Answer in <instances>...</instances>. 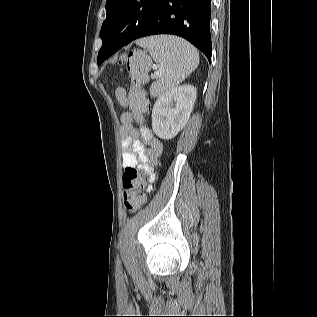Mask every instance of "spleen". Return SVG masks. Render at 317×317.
<instances>
[{
  "label": "spleen",
  "instance_id": "1",
  "mask_svg": "<svg viewBox=\"0 0 317 317\" xmlns=\"http://www.w3.org/2000/svg\"><path fill=\"white\" fill-rule=\"evenodd\" d=\"M160 65L161 79L150 87L152 97H160L180 84L199 64V53L190 43L170 35L152 36L137 41Z\"/></svg>",
  "mask_w": 317,
  "mask_h": 317
}]
</instances>
